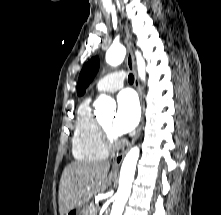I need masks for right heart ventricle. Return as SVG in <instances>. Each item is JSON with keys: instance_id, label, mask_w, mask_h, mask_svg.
Segmentation results:
<instances>
[{"instance_id": "1", "label": "right heart ventricle", "mask_w": 221, "mask_h": 215, "mask_svg": "<svg viewBox=\"0 0 221 215\" xmlns=\"http://www.w3.org/2000/svg\"><path fill=\"white\" fill-rule=\"evenodd\" d=\"M72 154L82 162H94L107 156L99 121L91 108V98H86L80 104L75 119L72 137Z\"/></svg>"}]
</instances>
